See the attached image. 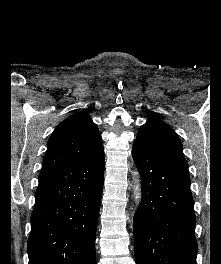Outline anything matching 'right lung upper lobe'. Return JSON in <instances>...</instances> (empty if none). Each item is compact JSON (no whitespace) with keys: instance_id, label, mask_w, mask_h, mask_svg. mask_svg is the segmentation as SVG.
I'll list each match as a JSON object with an SVG mask.
<instances>
[{"instance_id":"obj_1","label":"right lung upper lobe","mask_w":221,"mask_h":264,"mask_svg":"<svg viewBox=\"0 0 221 264\" xmlns=\"http://www.w3.org/2000/svg\"><path fill=\"white\" fill-rule=\"evenodd\" d=\"M103 153L97 125L88 113L79 112L62 121L49 138L42 171L85 163Z\"/></svg>"}]
</instances>
